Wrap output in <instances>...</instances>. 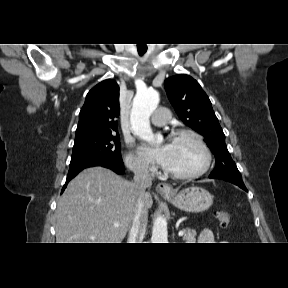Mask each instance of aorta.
Listing matches in <instances>:
<instances>
[{"instance_id": "obj_1", "label": "aorta", "mask_w": 288, "mask_h": 288, "mask_svg": "<svg viewBox=\"0 0 288 288\" xmlns=\"http://www.w3.org/2000/svg\"><path fill=\"white\" fill-rule=\"evenodd\" d=\"M159 103V94L153 89L138 91L133 99L130 115L134 135L140 139L153 143L156 141L149 118ZM152 243H168L167 223L164 217L157 216L152 229Z\"/></svg>"}]
</instances>
